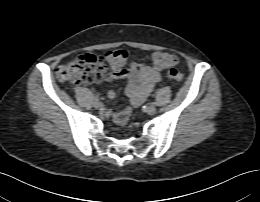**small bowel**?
I'll use <instances>...</instances> for the list:
<instances>
[{"mask_svg":"<svg viewBox=\"0 0 260 202\" xmlns=\"http://www.w3.org/2000/svg\"><path fill=\"white\" fill-rule=\"evenodd\" d=\"M106 78L108 80H125L126 95L134 107L140 106L148 95L152 92L154 86L161 81L160 73L146 64L132 63L127 69L112 68L108 71ZM110 99L115 98V92L109 90L107 93ZM133 109L127 107L119 112H110V117L118 124H125L128 116Z\"/></svg>","mask_w":260,"mask_h":202,"instance_id":"1","label":"small bowel"}]
</instances>
